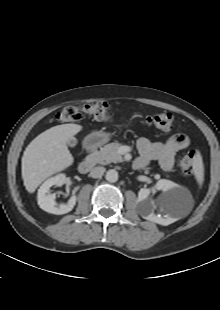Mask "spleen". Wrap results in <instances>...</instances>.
<instances>
[{
	"label": "spleen",
	"instance_id": "obj_1",
	"mask_svg": "<svg viewBox=\"0 0 220 310\" xmlns=\"http://www.w3.org/2000/svg\"><path fill=\"white\" fill-rule=\"evenodd\" d=\"M193 173L199 185H202L204 181V168L200 155L195 158Z\"/></svg>",
	"mask_w": 220,
	"mask_h": 310
}]
</instances>
